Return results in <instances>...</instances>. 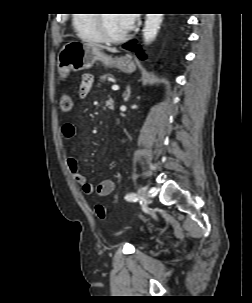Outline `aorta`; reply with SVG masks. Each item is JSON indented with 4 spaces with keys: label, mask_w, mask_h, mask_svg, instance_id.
<instances>
[{
    "label": "aorta",
    "mask_w": 252,
    "mask_h": 303,
    "mask_svg": "<svg viewBox=\"0 0 252 303\" xmlns=\"http://www.w3.org/2000/svg\"><path fill=\"white\" fill-rule=\"evenodd\" d=\"M163 14H147L143 29V39L145 43L152 42L160 29Z\"/></svg>",
    "instance_id": "aorta-1"
}]
</instances>
